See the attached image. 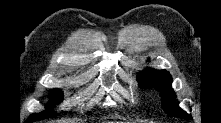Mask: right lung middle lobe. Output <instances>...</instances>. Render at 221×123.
<instances>
[{
	"instance_id": "dd1d6c3e",
	"label": "right lung middle lobe",
	"mask_w": 221,
	"mask_h": 123,
	"mask_svg": "<svg viewBox=\"0 0 221 123\" xmlns=\"http://www.w3.org/2000/svg\"><path fill=\"white\" fill-rule=\"evenodd\" d=\"M62 98H63V94L59 89L52 90V92L50 94L51 104L48 106V109L42 113H37V114L31 115L29 117V119L32 121H36V120H41V119H44L47 117L55 116V113L53 111H51L50 109L52 108V106L54 104H58L59 102H61Z\"/></svg>"
}]
</instances>
